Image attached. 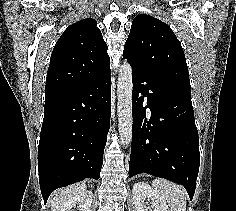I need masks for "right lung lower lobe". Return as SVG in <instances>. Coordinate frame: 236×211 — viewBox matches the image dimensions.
Here are the masks:
<instances>
[{"label":"right lung lower lobe","instance_id":"1","mask_svg":"<svg viewBox=\"0 0 236 211\" xmlns=\"http://www.w3.org/2000/svg\"><path fill=\"white\" fill-rule=\"evenodd\" d=\"M110 115L111 71L85 85L45 94L38 147L44 203L59 187L100 177Z\"/></svg>","mask_w":236,"mask_h":211}]
</instances>
